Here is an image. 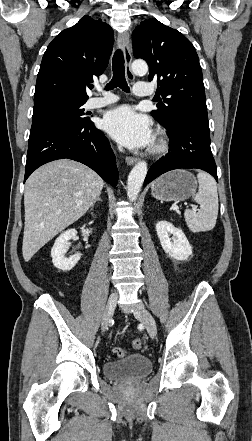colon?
<instances>
[{
  "mask_svg": "<svg viewBox=\"0 0 252 441\" xmlns=\"http://www.w3.org/2000/svg\"><path fill=\"white\" fill-rule=\"evenodd\" d=\"M132 347H133L135 350H141V348H142V341H141L140 339H135V340L132 342ZM113 352H114V354H115L116 356H118V357H123V356L125 355V350L122 349V348H115V349L113 350Z\"/></svg>",
  "mask_w": 252,
  "mask_h": 441,
  "instance_id": "colon-1",
  "label": "colon"
}]
</instances>
